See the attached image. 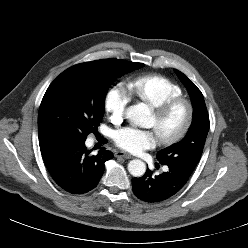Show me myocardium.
Here are the masks:
<instances>
[{
  "mask_svg": "<svg viewBox=\"0 0 248 248\" xmlns=\"http://www.w3.org/2000/svg\"><path fill=\"white\" fill-rule=\"evenodd\" d=\"M183 105L186 109V118L183 126L173 135L168 137H160L159 141L163 145H173L179 141H181L189 132L193 120H194V106L193 103L183 97H174L168 99L161 103L157 107H153V113L157 120L164 119L167 115H169L177 106Z\"/></svg>",
  "mask_w": 248,
  "mask_h": 248,
  "instance_id": "obj_1",
  "label": "myocardium"
}]
</instances>
